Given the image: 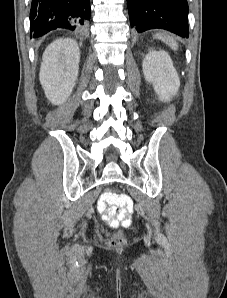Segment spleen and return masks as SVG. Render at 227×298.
I'll list each match as a JSON object with an SVG mask.
<instances>
[{
	"mask_svg": "<svg viewBox=\"0 0 227 298\" xmlns=\"http://www.w3.org/2000/svg\"><path fill=\"white\" fill-rule=\"evenodd\" d=\"M154 38L159 39L169 45L173 50L178 49V43L176 40L165 33H156Z\"/></svg>",
	"mask_w": 227,
	"mask_h": 298,
	"instance_id": "1",
	"label": "spleen"
}]
</instances>
